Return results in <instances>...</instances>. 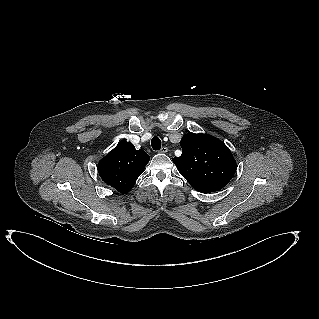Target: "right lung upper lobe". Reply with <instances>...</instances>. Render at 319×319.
I'll use <instances>...</instances> for the list:
<instances>
[{"mask_svg": "<svg viewBox=\"0 0 319 319\" xmlns=\"http://www.w3.org/2000/svg\"><path fill=\"white\" fill-rule=\"evenodd\" d=\"M149 160L145 151L123 140L99 162L98 172L105 183L124 194L132 189Z\"/></svg>", "mask_w": 319, "mask_h": 319, "instance_id": "obj_1", "label": "right lung upper lobe"}]
</instances>
